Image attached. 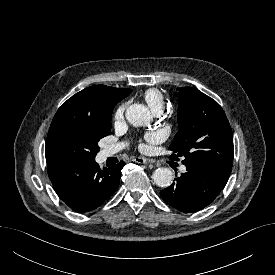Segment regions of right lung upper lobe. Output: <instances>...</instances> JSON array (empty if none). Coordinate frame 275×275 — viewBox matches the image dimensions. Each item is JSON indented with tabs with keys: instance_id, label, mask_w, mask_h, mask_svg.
<instances>
[{
	"instance_id": "obj_1",
	"label": "right lung upper lobe",
	"mask_w": 275,
	"mask_h": 275,
	"mask_svg": "<svg viewBox=\"0 0 275 275\" xmlns=\"http://www.w3.org/2000/svg\"><path fill=\"white\" fill-rule=\"evenodd\" d=\"M131 89H118L105 85H94L76 93L56 112L49 132L66 121H101L106 119L114 106L127 97Z\"/></svg>"
}]
</instances>
